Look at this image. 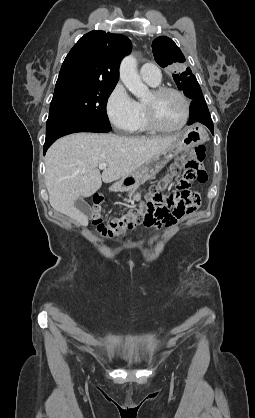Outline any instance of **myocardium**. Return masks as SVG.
<instances>
[{"instance_id": "1", "label": "myocardium", "mask_w": 255, "mask_h": 418, "mask_svg": "<svg viewBox=\"0 0 255 418\" xmlns=\"http://www.w3.org/2000/svg\"><path fill=\"white\" fill-rule=\"evenodd\" d=\"M152 93L155 97L162 96L166 93H174L178 95L184 103L185 113H184L183 120L181 121L180 124L174 127H164L158 122L154 107L150 104L144 103L145 116H146V121H147L149 128L153 131L160 132V133H173L185 127L191 115V104H190L188 97L179 89H176L173 87H167V86L157 87L152 90Z\"/></svg>"}]
</instances>
